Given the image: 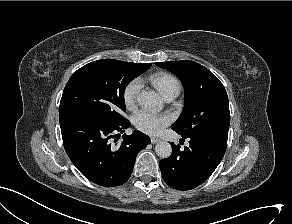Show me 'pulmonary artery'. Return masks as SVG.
Instances as JSON below:
<instances>
[{"label": "pulmonary artery", "mask_w": 292, "mask_h": 224, "mask_svg": "<svg viewBox=\"0 0 292 224\" xmlns=\"http://www.w3.org/2000/svg\"><path fill=\"white\" fill-rule=\"evenodd\" d=\"M176 97L175 93H169L164 96L165 101L170 102Z\"/></svg>", "instance_id": "e3ab8cb5"}]
</instances>
